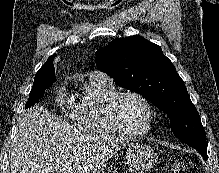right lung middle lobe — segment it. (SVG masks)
<instances>
[{
	"label": "right lung middle lobe",
	"mask_w": 219,
	"mask_h": 173,
	"mask_svg": "<svg viewBox=\"0 0 219 173\" xmlns=\"http://www.w3.org/2000/svg\"><path fill=\"white\" fill-rule=\"evenodd\" d=\"M56 80L55 72H37L33 87L30 91V97L25 105V108H29L42 98L45 90L52 85Z\"/></svg>",
	"instance_id": "1"
}]
</instances>
